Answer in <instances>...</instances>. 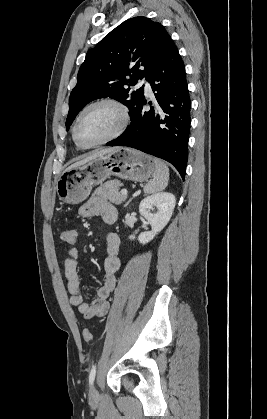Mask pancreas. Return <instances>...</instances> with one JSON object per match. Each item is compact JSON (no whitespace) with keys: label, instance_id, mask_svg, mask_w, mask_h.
Returning <instances> with one entry per match:
<instances>
[{"label":"pancreas","instance_id":"cf45deb5","mask_svg":"<svg viewBox=\"0 0 267 419\" xmlns=\"http://www.w3.org/2000/svg\"><path fill=\"white\" fill-rule=\"evenodd\" d=\"M121 183L118 180H110L95 189L93 195L109 200L110 202L120 205L125 201L126 196L119 191Z\"/></svg>","mask_w":267,"mask_h":419}]
</instances>
